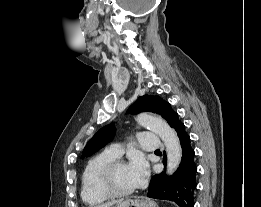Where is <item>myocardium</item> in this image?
I'll return each mask as SVG.
<instances>
[{
  "mask_svg": "<svg viewBox=\"0 0 261 207\" xmlns=\"http://www.w3.org/2000/svg\"><path fill=\"white\" fill-rule=\"evenodd\" d=\"M121 165H126L125 161L122 159H115L108 163L102 170L100 174V186L103 192L111 198H120L131 195L135 188L130 190L121 191L114 187L113 185V174L117 167Z\"/></svg>",
  "mask_w": 261,
  "mask_h": 207,
  "instance_id": "myocardium-1",
  "label": "myocardium"
}]
</instances>
